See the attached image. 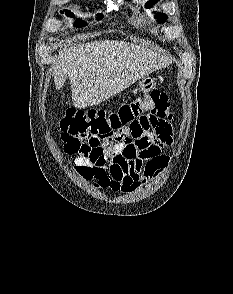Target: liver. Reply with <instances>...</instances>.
<instances>
[{
    "label": "liver",
    "instance_id": "obj_1",
    "mask_svg": "<svg viewBox=\"0 0 233 294\" xmlns=\"http://www.w3.org/2000/svg\"><path fill=\"white\" fill-rule=\"evenodd\" d=\"M169 64L165 56L140 45L93 41L60 51L53 77L57 90L70 79L73 105L81 109L100 104Z\"/></svg>",
    "mask_w": 233,
    "mask_h": 294
}]
</instances>
